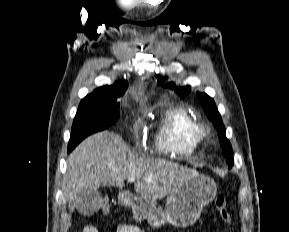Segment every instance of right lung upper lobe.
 Returning <instances> with one entry per match:
<instances>
[{
    "mask_svg": "<svg viewBox=\"0 0 289 232\" xmlns=\"http://www.w3.org/2000/svg\"><path fill=\"white\" fill-rule=\"evenodd\" d=\"M127 87L128 84L126 81H117L112 86H103L96 89L92 94L87 95L85 98L117 99L124 94Z\"/></svg>",
    "mask_w": 289,
    "mask_h": 232,
    "instance_id": "right-lung-upper-lobe-1",
    "label": "right lung upper lobe"
}]
</instances>
